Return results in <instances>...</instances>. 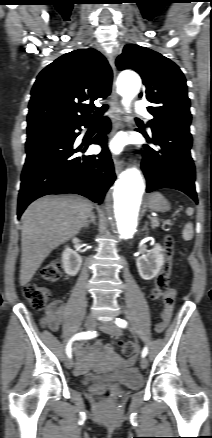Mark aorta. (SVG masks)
Masks as SVG:
<instances>
[{
  "instance_id": "obj_1",
  "label": "aorta",
  "mask_w": 212,
  "mask_h": 438,
  "mask_svg": "<svg viewBox=\"0 0 212 438\" xmlns=\"http://www.w3.org/2000/svg\"><path fill=\"white\" fill-rule=\"evenodd\" d=\"M140 77L133 72L119 76L118 91L123 104L128 109L130 102L139 93ZM145 190L143 178L137 168L126 169L116 181L109 208L114 220L116 234L121 239H129L136 232L140 216V203Z\"/></svg>"
}]
</instances>
